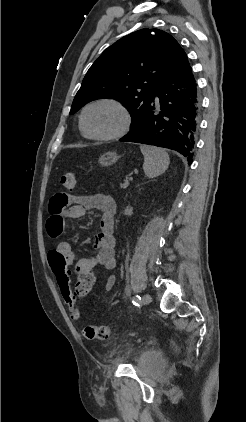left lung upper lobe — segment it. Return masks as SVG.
<instances>
[{"mask_svg": "<svg viewBox=\"0 0 246 422\" xmlns=\"http://www.w3.org/2000/svg\"><path fill=\"white\" fill-rule=\"evenodd\" d=\"M183 49L168 33L141 29L109 46L93 63L70 114L92 100L110 98L131 112V129L141 121L154 91L178 61Z\"/></svg>", "mask_w": 246, "mask_h": 422, "instance_id": "obj_1", "label": "left lung upper lobe"}]
</instances>
